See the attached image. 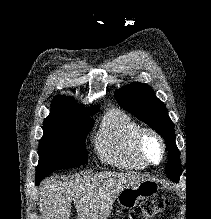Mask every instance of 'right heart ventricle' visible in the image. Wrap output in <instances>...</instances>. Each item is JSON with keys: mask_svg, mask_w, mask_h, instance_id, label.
Returning <instances> with one entry per match:
<instances>
[{"mask_svg": "<svg viewBox=\"0 0 211 219\" xmlns=\"http://www.w3.org/2000/svg\"><path fill=\"white\" fill-rule=\"evenodd\" d=\"M140 125L119 109L109 110L103 117L94 138V148L99 158L124 170H141L147 165L135 150V138Z\"/></svg>", "mask_w": 211, "mask_h": 219, "instance_id": "e07e8e85", "label": "right heart ventricle"}]
</instances>
